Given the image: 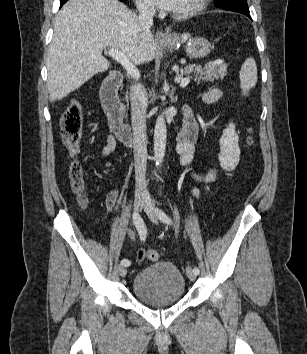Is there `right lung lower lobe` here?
<instances>
[{
  "label": "right lung lower lobe",
  "mask_w": 307,
  "mask_h": 354,
  "mask_svg": "<svg viewBox=\"0 0 307 354\" xmlns=\"http://www.w3.org/2000/svg\"><path fill=\"white\" fill-rule=\"evenodd\" d=\"M61 3H60V7L67 1V0H60ZM121 1H124V0H121Z\"/></svg>",
  "instance_id": "obj_1"
}]
</instances>
